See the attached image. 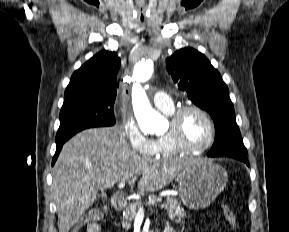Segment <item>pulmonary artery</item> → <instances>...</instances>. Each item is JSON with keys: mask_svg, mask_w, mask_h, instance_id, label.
Returning a JSON list of instances; mask_svg holds the SVG:
<instances>
[{"mask_svg": "<svg viewBox=\"0 0 289 232\" xmlns=\"http://www.w3.org/2000/svg\"><path fill=\"white\" fill-rule=\"evenodd\" d=\"M154 105L161 110L169 109L173 106L171 97L164 92H156L153 97Z\"/></svg>", "mask_w": 289, "mask_h": 232, "instance_id": "e3ab8cb5", "label": "pulmonary artery"}]
</instances>
